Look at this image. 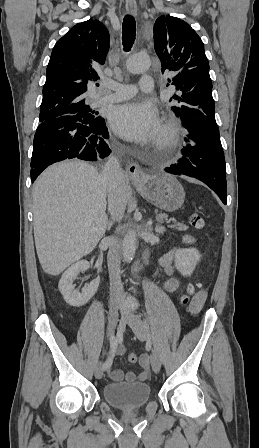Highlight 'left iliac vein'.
<instances>
[{
    "label": "left iliac vein",
    "mask_w": 259,
    "mask_h": 448,
    "mask_svg": "<svg viewBox=\"0 0 259 448\" xmlns=\"http://www.w3.org/2000/svg\"><path fill=\"white\" fill-rule=\"evenodd\" d=\"M122 319L130 326L134 334L140 341H145L149 338V332L146 324L143 320L124 305L121 306ZM161 368V360L156 350H153L152 355V369L155 373H158Z\"/></svg>",
    "instance_id": "left-iliac-vein-1"
}]
</instances>
